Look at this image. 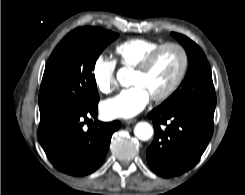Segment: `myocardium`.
<instances>
[{
	"label": "myocardium",
	"instance_id": "1",
	"mask_svg": "<svg viewBox=\"0 0 245 195\" xmlns=\"http://www.w3.org/2000/svg\"><path fill=\"white\" fill-rule=\"evenodd\" d=\"M167 48H175L179 51L180 56H181V65L179 72L174 79V81L171 83V85L161 92L160 94L152 96V100L154 101H163L167 98H169L180 86L181 82L184 79V76L187 71V66H188V55L185 50V48L174 42H169V43H164L155 48L153 51H151L135 68L134 71L143 73L149 69V67L152 65L154 60L157 58V56L165 49Z\"/></svg>",
	"mask_w": 245,
	"mask_h": 195
}]
</instances>
